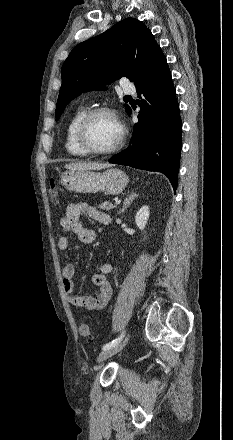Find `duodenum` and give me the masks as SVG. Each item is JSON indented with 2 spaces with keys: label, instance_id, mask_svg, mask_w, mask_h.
<instances>
[{
  "label": "duodenum",
  "instance_id": "1",
  "mask_svg": "<svg viewBox=\"0 0 233 440\" xmlns=\"http://www.w3.org/2000/svg\"><path fill=\"white\" fill-rule=\"evenodd\" d=\"M104 224L109 225L110 224V220L109 219L105 220Z\"/></svg>",
  "mask_w": 233,
  "mask_h": 440
}]
</instances>
